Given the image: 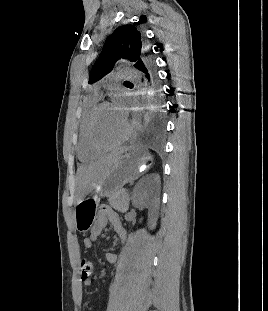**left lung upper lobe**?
Here are the masks:
<instances>
[{
  "label": "left lung upper lobe",
  "mask_w": 268,
  "mask_h": 311,
  "mask_svg": "<svg viewBox=\"0 0 268 311\" xmlns=\"http://www.w3.org/2000/svg\"><path fill=\"white\" fill-rule=\"evenodd\" d=\"M144 55L140 31L131 25L118 27L106 39L103 50L91 70L89 83L93 84L110 73L121 58L129 60L137 68Z\"/></svg>",
  "instance_id": "left-lung-upper-lobe-1"
}]
</instances>
